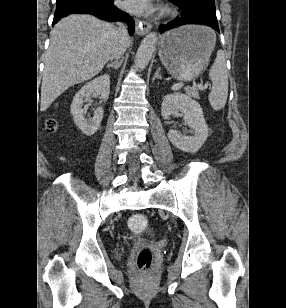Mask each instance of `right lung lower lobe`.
Segmentation results:
<instances>
[{
	"label": "right lung lower lobe",
	"instance_id": "obj_1",
	"mask_svg": "<svg viewBox=\"0 0 286 308\" xmlns=\"http://www.w3.org/2000/svg\"><path fill=\"white\" fill-rule=\"evenodd\" d=\"M91 14L102 20L123 21L129 25V33L135 30L133 19L114 6L113 0H57L53 24L68 14Z\"/></svg>",
	"mask_w": 286,
	"mask_h": 308
}]
</instances>
